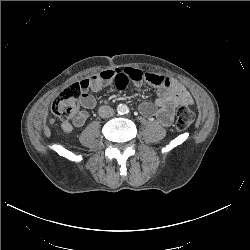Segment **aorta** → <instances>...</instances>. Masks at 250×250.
<instances>
[{
    "mask_svg": "<svg viewBox=\"0 0 250 250\" xmlns=\"http://www.w3.org/2000/svg\"><path fill=\"white\" fill-rule=\"evenodd\" d=\"M117 112L119 114H126L128 112V106L125 104H119L117 106Z\"/></svg>",
    "mask_w": 250,
    "mask_h": 250,
    "instance_id": "obj_1",
    "label": "aorta"
}]
</instances>
